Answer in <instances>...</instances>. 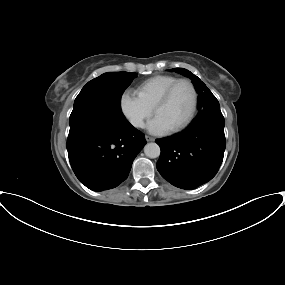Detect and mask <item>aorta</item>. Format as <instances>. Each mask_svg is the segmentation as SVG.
<instances>
[{
	"mask_svg": "<svg viewBox=\"0 0 285 285\" xmlns=\"http://www.w3.org/2000/svg\"><path fill=\"white\" fill-rule=\"evenodd\" d=\"M144 153L149 158H157L160 156V147L156 143H147L144 147Z\"/></svg>",
	"mask_w": 285,
	"mask_h": 285,
	"instance_id": "aorta-1",
	"label": "aorta"
}]
</instances>
